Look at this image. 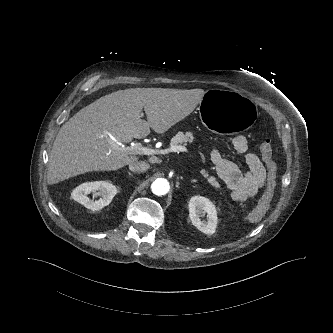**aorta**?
I'll use <instances>...</instances> for the list:
<instances>
[{
    "instance_id": "1",
    "label": "aorta",
    "mask_w": 333,
    "mask_h": 333,
    "mask_svg": "<svg viewBox=\"0 0 333 333\" xmlns=\"http://www.w3.org/2000/svg\"><path fill=\"white\" fill-rule=\"evenodd\" d=\"M152 192L157 196H162L168 193L170 189L169 182L164 178H157L151 185Z\"/></svg>"
}]
</instances>
